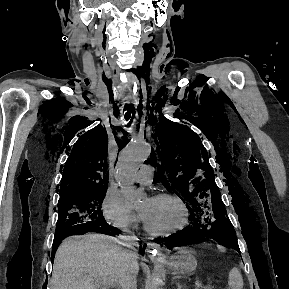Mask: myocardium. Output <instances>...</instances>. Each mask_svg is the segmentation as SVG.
I'll use <instances>...</instances> for the list:
<instances>
[{"label": "myocardium", "mask_w": 289, "mask_h": 289, "mask_svg": "<svg viewBox=\"0 0 289 289\" xmlns=\"http://www.w3.org/2000/svg\"><path fill=\"white\" fill-rule=\"evenodd\" d=\"M152 199L155 200H172L175 201L183 210V214H184V220L183 223L173 229L167 230V231H155L153 230L145 221H143V228L144 230L153 236H158V237H166V236H170L172 234H175L179 231L184 230L188 224H189V216H190V212H189V208L187 207L186 203L183 201L182 198H180L179 196L175 195V194H171V193H159L156 194L152 197Z\"/></svg>", "instance_id": "myocardium-1"}]
</instances>
